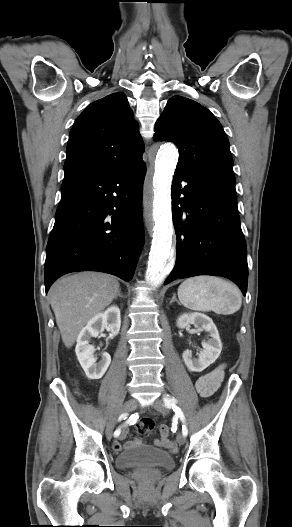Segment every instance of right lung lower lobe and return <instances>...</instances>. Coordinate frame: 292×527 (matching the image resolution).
I'll return each instance as SVG.
<instances>
[{
  "mask_svg": "<svg viewBox=\"0 0 292 527\" xmlns=\"http://www.w3.org/2000/svg\"><path fill=\"white\" fill-rule=\"evenodd\" d=\"M143 160L108 173L65 176L45 261V290L60 276L101 271L132 279L143 241Z\"/></svg>",
  "mask_w": 292,
  "mask_h": 527,
  "instance_id": "1",
  "label": "right lung lower lobe"
}]
</instances>
